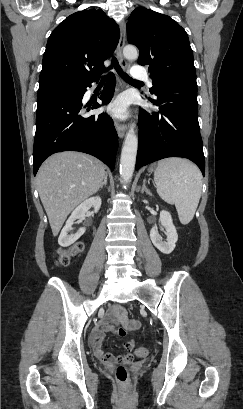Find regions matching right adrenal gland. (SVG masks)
Instances as JSON below:
<instances>
[{"mask_svg": "<svg viewBox=\"0 0 243 409\" xmlns=\"http://www.w3.org/2000/svg\"><path fill=\"white\" fill-rule=\"evenodd\" d=\"M106 185H107V173L104 176V181H103L102 185L100 186V189H102L103 186H106Z\"/></svg>", "mask_w": 243, "mask_h": 409, "instance_id": "obj_1", "label": "right adrenal gland"}]
</instances>
